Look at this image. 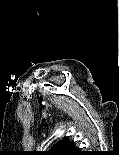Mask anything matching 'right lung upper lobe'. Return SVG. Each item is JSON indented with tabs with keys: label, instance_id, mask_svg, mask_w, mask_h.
I'll return each instance as SVG.
<instances>
[{
	"label": "right lung upper lobe",
	"instance_id": "obj_1",
	"mask_svg": "<svg viewBox=\"0 0 119 155\" xmlns=\"http://www.w3.org/2000/svg\"><path fill=\"white\" fill-rule=\"evenodd\" d=\"M74 146V142L68 138H63L55 143L50 150L42 151L40 155H66V153Z\"/></svg>",
	"mask_w": 119,
	"mask_h": 155
}]
</instances>
